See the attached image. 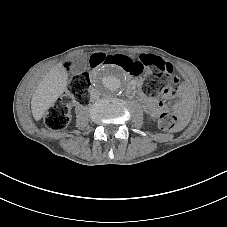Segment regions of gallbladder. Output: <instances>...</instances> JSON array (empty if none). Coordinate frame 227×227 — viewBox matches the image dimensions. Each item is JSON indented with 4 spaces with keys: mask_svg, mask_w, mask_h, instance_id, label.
Returning a JSON list of instances; mask_svg holds the SVG:
<instances>
[{
    "mask_svg": "<svg viewBox=\"0 0 227 227\" xmlns=\"http://www.w3.org/2000/svg\"><path fill=\"white\" fill-rule=\"evenodd\" d=\"M73 59L76 62V65H75V67L73 69V73H80L82 71L87 70V66H86L87 57H86L85 54L75 55L73 57Z\"/></svg>",
    "mask_w": 227,
    "mask_h": 227,
    "instance_id": "obj_1",
    "label": "gallbladder"
}]
</instances>
